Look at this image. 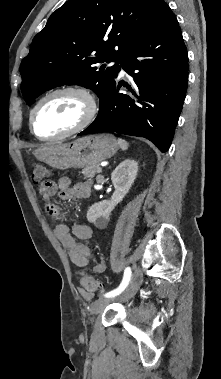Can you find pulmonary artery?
I'll list each match as a JSON object with an SVG mask.
<instances>
[{
  "mask_svg": "<svg viewBox=\"0 0 221 379\" xmlns=\"http://www.w3.org/2000/svg\"><path fill=\"white\" fill-rule=\"evenodd\" d=\"M121 73L124 74L125 73V70L123 69V67L121 66Z\"/></svg>",
  "mask_w": 221,
  "mask_h": 379,
  "instance_id": "obj_1",
  "label": "pulmonary artery"
}]
</instances>
